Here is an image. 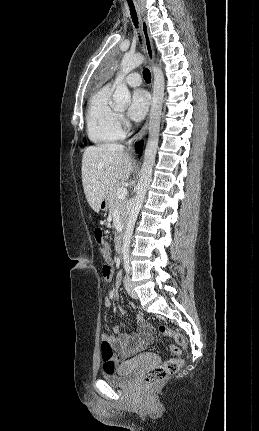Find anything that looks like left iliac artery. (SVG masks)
Instances as JSON below:
<instances>
[{
    "label": "left iliac artery",
    "mask_w": 259,
    "mask_h": 431,
    "mask_svg": "<svg viewBox=\"0 0 259 431\" xmlns=\"http://www.w3.org/2000/svg\"><path fill=\"white\" fill-rule=\"evenodd\" d=\"M123 259H124V268H125V271L127 273H129V271H130L129 255H127V254L124 255Z\"/></svg>",
    "instance_id": "1"
}]
</instances>
